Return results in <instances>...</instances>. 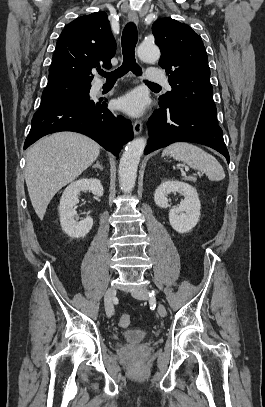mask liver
Returning a JSON list of instances; mask_svg holds the SVG:
<instances>
[{"label": "liver", "instance_id": "1", "mask_svg": "<svg viewBox=\"0 0 265 407\" xmlns=\"http://www.w3.org/2000/svg\"><path fill=\"white\" fill-rule=\"evenodd\" d=\"M99 153L94 140L67 131L44 137L28 149L25 181L40 220L54 195L91 166Z\"/></svg>", "mask_w": 265, "mask_h": 407}]
</instances>
